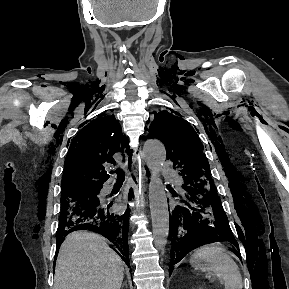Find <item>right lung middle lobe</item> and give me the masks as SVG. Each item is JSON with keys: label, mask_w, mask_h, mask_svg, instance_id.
<instances>
[{"label": "right lung middle lobe", "mask_w": 289, "mask_h": 289, "mask_svg": "<svg viewBox=\"0 0 289 289\" xmlns=\"http://www.w3.org/2000/svg\"><path fill=\"white\" fill-rule=\"evenodd\" d=\"M98 192V190H93L79 192L69 196H61V213L59 221L71 216L73 212L82 210L88 205L98 201Z\"/></svg>", "instance_id": "right-lung-middle-lobe-1"}]
</instances>
